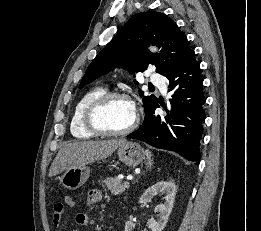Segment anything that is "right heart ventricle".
Listing matches in <instances>:
<instances>
[{"mask_svg": "<svg viewBox=\"0 0 261 231\" xmlns=\"http://www.w3.org/2000/svg\"><path fill=\"white\" fill-rule=\"evenodd\" d=\"M103 87H96L87 92L76 104L71 116L70 130L74 137L78 139H87L95 136L94 133L87 130L84 124V113L86 108L98 97L106 93Z\"/></svg>", "mask_w": 261, "mask_h": 231, "instance_id": "e07e8e85", "label": "right heart ventricle"}]
</instances>
